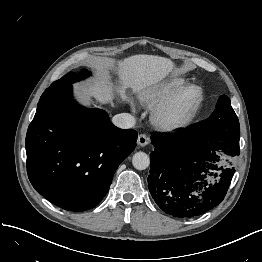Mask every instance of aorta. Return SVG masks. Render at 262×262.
Segmentation results:
<instances>
[{"instance_id": "762f6f07", "label": "aorta", "mask_w": 262, "mask_h": 262, "mask_svg": "<svg viewBox=\"0 0 262 262\" xmlns=\"http://www.w3.org/2000/svg\"><path fill=\"white\" fill-rule=\"evenodd\" d=\"M132 164L136 169L144 170L149 166L150 158L146 153L139 151L133 155Z\"/></svg>"}]
</instances>
